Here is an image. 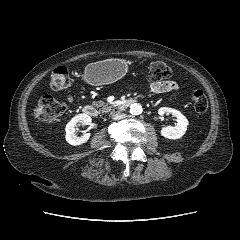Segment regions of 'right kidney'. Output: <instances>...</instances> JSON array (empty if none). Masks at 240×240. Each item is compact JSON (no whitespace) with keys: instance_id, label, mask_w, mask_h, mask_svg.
<instances>
[{"instance_id":"right-kidney-1","label":"right kidney","mask_w":240,"mask_h":240,"mask_svg":"<svg viewBox=\"0 0 240 240\" xmlns=\"http://www.w3.org/2000/svg\"><path fill=\"white\" fill-rule=\"evenodd\" d=\"M92 121L91 117L87 114H79V115H76L75 117H73L70 122L67 123L66 125V141L71 144V145H81L85 142L88 141L89 137H90V133H86L82 136H77L75 134V126L77 124H90Z\"/></svg>"}]
</instances>
